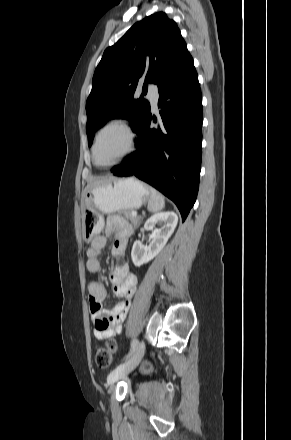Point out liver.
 Masks as SVG:
<instances>
[{
    "label": "liver",
    "mask_w": 291,
    "mask_h": 440,
    "mask_svg": "<svg viewBox=\"0 0 291 440\" xmlns=\"http://www.w3.org/2000/svg\"><path fill=\"white\" fill-rule=\"evenodd\" d=\"M110 180H112V179H103V180H100V181H97V182H95V183H92V184L88 185L87 188L85 189V191L83 192V196H84L85 192H86L89 188H91V187H93V186H96V185H99V184L106 183V182H108V181H110Z\"/></svg>",
    "instance_id": "1"
}]
</instances>
